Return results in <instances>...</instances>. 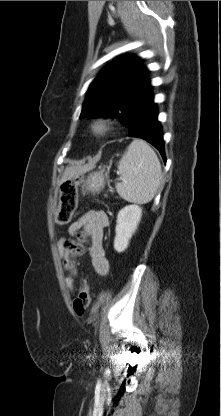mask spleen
Wrapping results in <instances>:
<instances>
[{"label":"spleen","instance_id":"1","mask_svg":"<svg viewBox=\"0 0 221 416\" xmlns=\"http://www.w3.org/2000/svg\"><path fill=\"white\" fill-rule=\"evenodd\" d=\"M121 182L117 193L126 201L150 202L161 184L162 170L154 150L143 140L135 139L127 147L118 164Z\"/></svg>","mask_w":221,"mask_h":416}]
</instances>
